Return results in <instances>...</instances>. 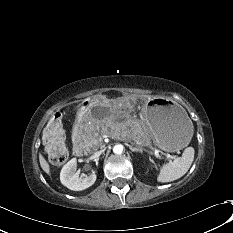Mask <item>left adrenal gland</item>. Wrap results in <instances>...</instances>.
I'll use <instances>...</instances> for the list:
<instances>
[{
    "label": "left adrenal gland",
    "instance_id": "a2214340",
    "mask_svg": "<svg viewBox=\"0 0 233 233\" xmlns=\"http://www.w3.org/2000/svg\"><path fill=\"white\" fill-rule=\"evenodd\" d=\"M129 148H130V150H131L132 152H140V153L143 152V148L140 147V146L133 147V146L130 145Z\"/></svg>",
    "mask_w": 233,
    "mask_h": 233
}]
</instances>
